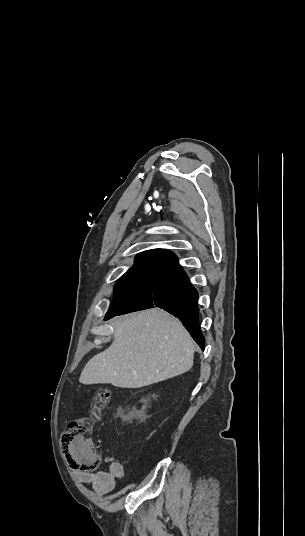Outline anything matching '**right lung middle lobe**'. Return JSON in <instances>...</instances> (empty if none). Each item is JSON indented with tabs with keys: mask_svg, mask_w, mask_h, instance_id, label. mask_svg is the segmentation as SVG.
<instances>
[{
	"mask_svg": "<svg viewBox=\"0 0 305 536\" xmlns=\"http://www.w3.org/2000/svg\"><path fill=\"white\" fill-rule=\"evenodd\" d=\"M162 277H122L114 286V299L107 315L118 313L153 289Z\"/></svg>",
	"mask_w": 305,
	"mask_h": 536,
	"instance_id": "1",
	"label": "right lung middle lobe"
}]
</instances>
